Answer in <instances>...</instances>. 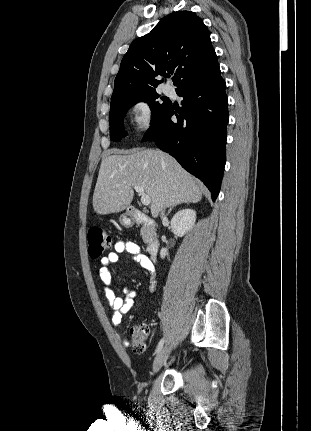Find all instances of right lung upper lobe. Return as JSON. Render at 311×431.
Returning <instances> with one entry per match:
<instances>
[{
    "mask_svg": "<svg viewBox=\"0 0 311 431\" xmlns=\"http://www.w3.org/2000/svg\"><path fill=\"white\" fill-rule=\"evenodd\" d=\"M218 68L203 21L190 11L174 12L131 43L121 61L111 99L155 91L163 81L156 77H167L173 72L174 85L179 89Z\"/></svg>",
    "mask_w": 311,
    "mask_h": 431,
    "instance_id": "right-lung-upper-lobe-1",
    "label": "right lung upper lobe"
}]
</instances>
